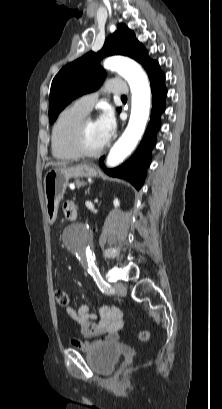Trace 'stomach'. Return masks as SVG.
Here are the masks:
<instances>
[{
	"mask_svg": "<svg viewBox=\"0 0 222 409\" xmlns=\"http://www.w3.org/2000/svg\"><path fill=\"white\" fill-rule=\"evenodd\" d=\"M96 169L89 164L49 169L44 176L45 208L49 223L57 218L58 207L71 178L94 177Z\"/></svg>",
	"mask_w": 222,
	"mask_h": 409,
	"instance_id": "stomach-1",
	"label": "stomach"
}]
</instances>
